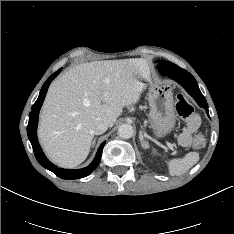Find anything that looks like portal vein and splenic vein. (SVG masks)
<instances>
[{"instance_id":"obj_1","label":"portal vein and splenic vein","mask_w":234,"mask_h":234,"mask_svg":"<svg viewBox=\"0 0 234 234\" xmlns=\"http://www.w3.org/2000/svg\"><path fill=\"white\" fill-rule=\"evenodd\" d=\"M167 146H168L173 152H175L174 144L167 142Z\"/></svg>"}]
</instances>
